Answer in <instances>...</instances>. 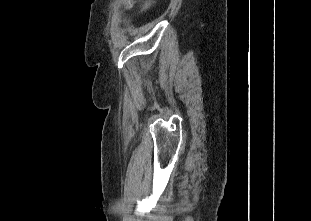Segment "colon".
<instances>
[{"instance_id":"1","label":"colon","mask_w":311,"mask_h":221,"mask_svg":"<svg viewBox=\"0 0 311 221\" xmlns=\"http://www.w3.org/2000/svg\"><path fill=\"white\" fill-rule=\"evenodd\" d=\"M155 2L156 0H144L143 2L144 9L150 8ZM122 7L123 8H134L135 2L134 1H123Z\"/></svg>"}]
</instances>
